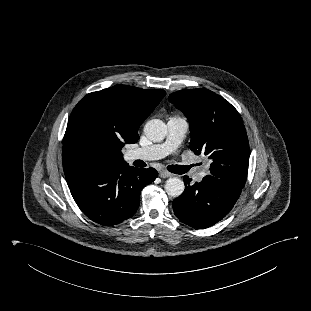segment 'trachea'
I'll list each match as a JSON object with an SVG mask.
<instances>
[{
  "mask_svg": "<svg viewBox=\"0 0 311 311\" xmlns=\"http://www.w3.org/2000/svg\"><path fill=\"white\" fill-rule=\"evenodd\" d=\"M167 169L176 174H183L185 173L189 168L188 167H183V166H178V165H170L167 167Z\"/></svg>",
  "mask_w": 311,
  "mask_h": 311,
  "instance_id": "trachea-1",
  "label": "trachea"
}]
</instances>
